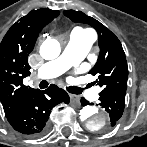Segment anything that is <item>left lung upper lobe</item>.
Wrapping results in <instances>:
<instances>
[{"label":"left lung upper lobe","instance_id":"obj_1","mask_svg":"<svg viewBox=\"0 0 147 147\" xmlns=\"http://www.w3.org/2000/svg\"><path fill=\"white\" fill-rule=\"evenodd\" d=\"M64 14L74 22L86 23L98 32L100 53L90 74L98 77L103 90L99 95L113 90H127L128 66L122 45L116 35L96 19L81 11L68 10Z\"/></svg>","mask_w":147,"mask_h":147}]
</instances>
